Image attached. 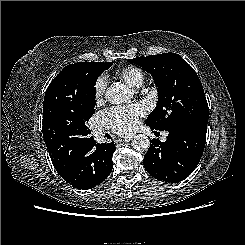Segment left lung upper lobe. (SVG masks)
I'll return each mask as SVG.
<instances>
[{"mask_svg":"<svg viewBox=\"0 0 245 245\" xmlns=\"http://www.w3.org/2000/svg\"><path fill=\"white\" fill-rule=\"evenodd\" d=\"M149 72L158 87V104L146 124L169 131L192 121H208L209 110L200 79L176 53L129 59Z\"/></svg>","mask_w":245,"mask_h":245,"instance_id":"1","label":"left lung upper lobe"}]
</instances>
